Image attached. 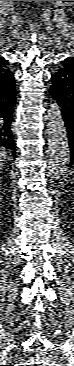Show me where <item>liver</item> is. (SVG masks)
<instances>
[{"label": "liver", "mask_w": 74, "mask_h": 366, "mask_svg": "<svg viewBox=\"0 0 74 366\" xmlns=\"http://www.w3.org/2000/svg\"><path fill=\"white\" fill-rule=\"evenodd\" d=\"M6 156H7L6 150L3 147H1L0 148V158H1V161H3L6 158Z\"/></svg>", "instance_id": "liver-1"}]
</instances>
